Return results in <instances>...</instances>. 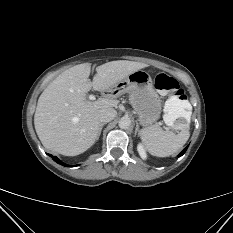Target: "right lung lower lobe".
<instances>
[{
    "label": "right lung lower lobe",
    "mask_w": 233,
    "mask_h": 233,
    "mask_svg": "<svg viewBox=\"0 0 233 233\" xmlns=\"http://www.w3.org/2000/svg\"><path fill=\"white\" fill-rule=\"evenodd\" d=\"M50 155V154H49ZM52 158H53V160L55 161V162H57L58 164H60V165H62V166H66V167H70V165H67V164H65V163H63L61 160H59L57 157H55V156H52V155H50Z\"/></svg>",
    "instance_id": "98d812e1"
}]
</instances>
